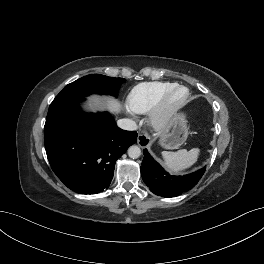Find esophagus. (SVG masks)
<instances>
[{"label":"esophagus","mask_w":264,"mask_h":264,"mask_svg":"<svg viewBox=\"0 0 264 264\" xmlns=\"http://www.w3.org/2000/svg\"><path fill=\"white\" fill-rule=\"evenodd\" d=\"M137 143L141 148H146L150 145L149 138L146 134L139 133L137 137Z\"/></svg>","instance_id":"obj_1"}]
</instances>
